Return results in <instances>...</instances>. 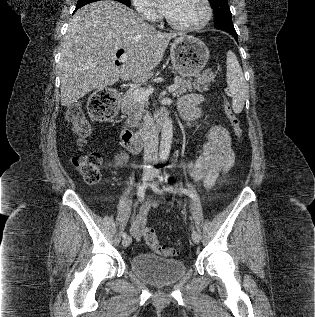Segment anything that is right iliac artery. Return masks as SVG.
I'll use <instances>...</instances> for the list:
<instances>
[{
    "mask_svg": "<svg viewBox=\"0 0 315 317\" xmlns=\"http://www.w3.org/2000/svg\"><path fill=\"white\" fill-rule=\"evenodd\" d=\"M145 185H142L139 187L138 192H137V196H138V200L140 202H142L144 200V196H145ZM127 236L126 232L122 233V237L125 238Z\"/></svg>",
    "mask_w": 315,
    "mask_h": 317,
    "instance_id": "obj_1",
    "label": "right iliac artery"
}]
</instances>
